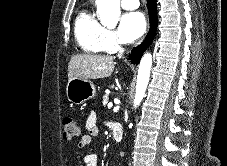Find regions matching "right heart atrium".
<instances>
[{
    "instance_id": "1",
    "label": "right heart atrium",
    "mask_w": 227,
    "mask_h": 166,
    "mask_svg": "<svg viewBox=\"0 0 227 166\" xmlns=\"http://www.w3.org/2000/svg\"><path fill=\"white\" fill-rule=\"evenodd\" d=\"M120 45L116 33L112 30H106L105 33V51L109 52L114 50Z\"/></svg>"
}]
</instances>
